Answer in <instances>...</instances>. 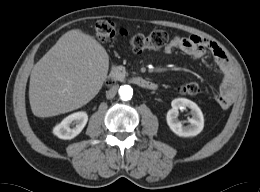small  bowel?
Wrapping results in <instances>:
<instances>
[{"instance_id":"1","label":"small bowel","mask_w":260,"mask_h":192,"mask_svg":"<svg viewBox=\"0 0 260 192\" xmlns=\"http://www.w3.org/2000/svg\"><path fill=\"white\" fill-rule=\"evenodd\" d=\"M175 50H179L193 59H201L207 53L213 56L222 74V83L214 99L222 108H228L235 100L237 89L235 75L224 51L215 42L198 35L174 37L165 48V52L171 53Z\"/></svg>"}]
</instances>
